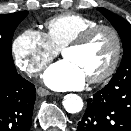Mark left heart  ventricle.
Wrapping results in <instances>:
<instances>
[{
  "instance_id": "obj_1",
  "label": "left heart ventricle",
  "mask_w": 131,
  "mask_h": 131,
  "mask_svg": "<svg viewBox=\"0 0 131 131\" xmlns=\"http://www.w3.org/2000/svg\"><path fill=\"white\" fill-rule=\"evenodd\" d=\"M114 47L111 33L100 31L85 46L67 50L63 56L78 65L88 79L101 74L108 67L113 58Z\"/></svg>"
}]
</instances>
